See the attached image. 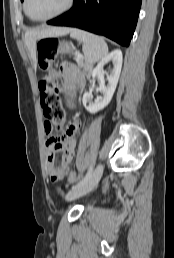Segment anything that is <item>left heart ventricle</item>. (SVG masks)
Returning a JSON list of instances; mask_svg holds the SVG:
<instances>
[{
  "mask_svg": "<svg viewBox=\"0 0 174 258\" xmlns=\"http://www.w3.org/2000/svg\"><path fill=\"white\" fill-rule=\"evenodd\" d=\"M67 0H29L28 12L33 18H42L61 10Z\"/></svg>",
  "mask_w": 174,
  "mask_h": 258,
  "instance_id": "obj_1",
  "label": "left heart ventricle"
}]
</instances>
